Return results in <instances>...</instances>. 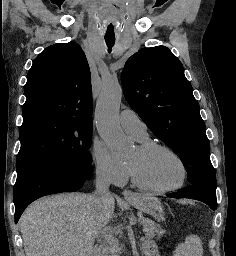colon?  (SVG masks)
I'll return each mask as SVG.
<instances>
[{"label":"colon","mask_w":236,"mask_h":256,"mask_svg":"<svg viewBox=\"0 0 236 256\" xmlns=\"http://www.w3.org/2000/svg\"><path fill=\"white\" fill-rule=\"evenodd\" d=\"M153 255H154V256H162V253H161V251H160L158 248H156V249L154 250V252H153Z\"/></svg>","instance_id":"1"}]
</instances>
